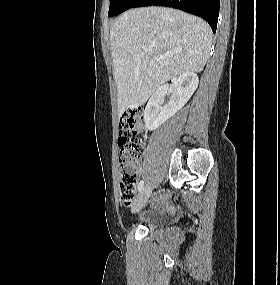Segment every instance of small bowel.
Wrapping results in <instances>:
<instances>
[{
    "mask_svg": "<svg viewBox=\"0 0 280 285\" xmlns=\"http://www.w3.org/2000/svg\"><path fill=\"white\" fill-rule=\"evenodd\" d=\"M156 202H157V203H163V201H162L161 199H159V198L156 199Z\"/></svg>",
    "mask_w": 280,
    "mask_h": 285,
    "instance_id": "small-bowel-1",
    "label": "small bowel"
}]
</instances>
